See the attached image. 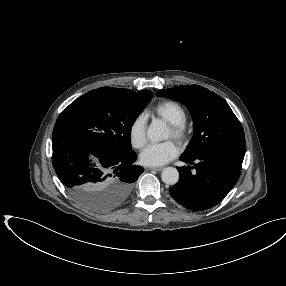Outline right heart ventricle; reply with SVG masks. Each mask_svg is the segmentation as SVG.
I'll use <instances>...</instances> for the list:
<instances>
[{"label": "right heart ventricle", "mask_w": 286, "mask_h": 286, "mask_svg": "<svg viewBox=\"0 0 286 286\" xmlns=\"http://www.w3.org/2000/svg\"><path fill=\"white\" fill-rule=\"evenodd\" d=\"M149 113L162 118L169 124H184L187 121L186 110L174 101L160 102L151 108Z\"/></svg>", "instance_id": "obj_1"}]
</instances>
